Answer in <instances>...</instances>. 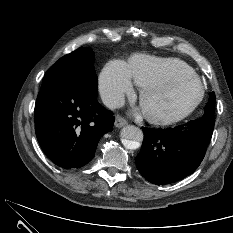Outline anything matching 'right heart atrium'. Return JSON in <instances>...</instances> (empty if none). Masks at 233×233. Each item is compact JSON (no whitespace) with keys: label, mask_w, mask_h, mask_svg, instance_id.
Listing matches in <instances>:
<instances>
[{"label":"right heart atrium","mask_w":233,"mask_h":233,"mask_svg":"<svg viewBox=\"0 0 233 233\" xmlns=\"http://www.w3.org/2000/svg\"><path fill=\"white\" fill-rule=\"evenodd\" d=\"M97 88L106 106H120L134 92L127 65L120 60L107 63L98 76Z\"/></svg>","instance_id":"d8ad5b80"}]
</instances>
